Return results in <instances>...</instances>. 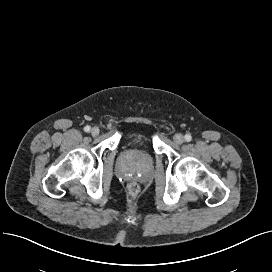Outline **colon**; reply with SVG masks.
Listing matches in <instances>:
<instances>
[{"label": "colon", "mask_w": 272, "mask_h": 272, "mask_svg": "<svg viewBox=\"0 0 272 272\" xmlns=\"http://www.w3.org/2000/svg\"><path fill=\"white\" fill-rule=\"evenodd\" d=\"M128 191L130 194L136 195L139 192V185L137 183L129 184Z\"/></svg>", "instance_id": "5ec220e1"}]
</instances>
